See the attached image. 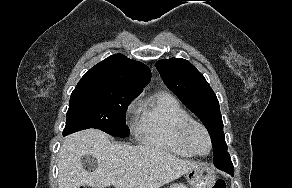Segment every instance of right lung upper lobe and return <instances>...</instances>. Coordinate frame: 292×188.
I'll return each mask as SVG.
<instances>
[{"instance_id": "1", "label": "right lung upper lobe", "mask_w": 292, "mask_h": 188, "mask_svg": "<svg viewBox=\"0 0 292 188\" xmlns=\"http://www.w3.org/2000/svg\"><path fill=\"white\" fill-rule=\"evenodd\" d=\"M150 78L151 71L143 63L114 54L88 70L78 84H98L139 95Z\"/></svg>"}]
</instances>
